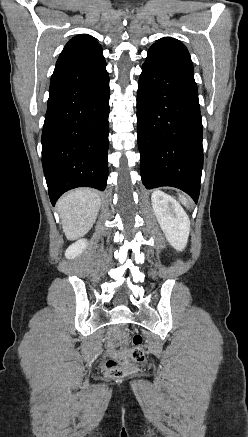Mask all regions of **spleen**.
Here are the masks:
<instances>
[{
  "instance_id": "1",
  "label": "spleen",
  "mask_w": 248,
  "mask_h": 437,
  "mask_svg": "<svg viewBox=\"0 0 248 437\" xmlns=\"http://www.w3.org/2000/svg\"><path fill=\"white\" fill-rule=\"evenodd\" d=\"M179 200L182 202L183 205L189 208L191 202L186 196L179 194Z\"/></svg>"
}]
</instances>
